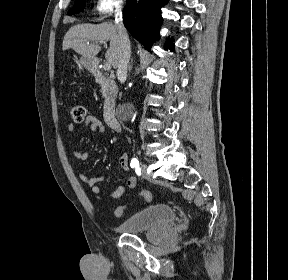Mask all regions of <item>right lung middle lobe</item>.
Listing matches in <instances>:
<instances>
[{
    "label": "right lung middle lobe",
    "instance_id": "1",
    "mask_svg": "<svg viewBox=\"0 0 288 280\" xmlns=\"http://www.w3.org/2000/svg\"><path fill=\"white\" fill-rule=\"evenodd\" d=\"M85 0H76L74 6L68 11V15L76 14L84 9Z\"/></svg>",
    "mask_w": 288,
    "mask_h": 280
}]
</instances>
